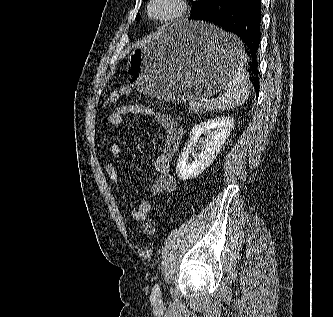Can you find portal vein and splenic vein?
Instances as JSON below:
<instances>
[{"mask_svg": "<svg viewBox=\"0 0 333 317\" xmlns=\"http://www.w3.org/2000/svg\"><path fill=\"white\" fill-rule=\"evenodd\" d=\"M207 103L210 104L211 101H208ZM189 104H190V105H198L199 103H196V102H194V101H191Z\"/></svg>", "mask_w": 333, "mask_h": 317, "instance_id": "obj_1", "label": "portal vein and splenic vein"}]
</instances>
